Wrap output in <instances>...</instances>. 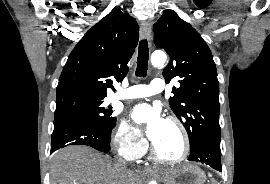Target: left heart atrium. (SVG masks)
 <instances>
[{
	"instance_id": "1",
	"label": "left heart atrium",
	"mask_w": 270,
	"mask_h": 184,
	"mask_svg": "<svg viewBox=\"0 0 270 184\" xmlns=\"http://www.w3.org/2000/svg\"><path fill=\"white\" fill-rule=\"evenodd\" d=\"M131 118L136 125L142 127L146 136L154 143L156 142L166 124L157 108L147 104H139L131 112Z\"/></svg>"
}]
</instances>
